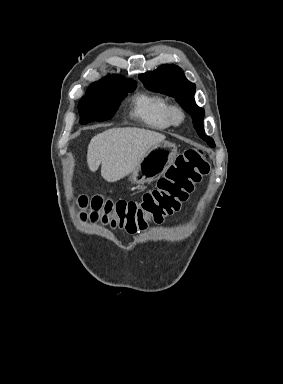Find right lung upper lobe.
Wrapping results in <instances>:
<instances>
[{
  "label": "right lung upper lobe",
  "instance_id": "obj_1",
  "mask_svg": "<svg viewBox=\"0 0 283 384\" xmlns=\"http://www.w3.org/2000/svg\"><path fill=\"white\" fill-rule=\"evenodd\" d=\"M125 83H135L132 80H125L122 76H114V75H108L105 78L92 83L89 88H95V87H103L113 84H125Z\"/></svg>",
  "mask_w": 283,
  "mask_h": 384
}]
</instances>
